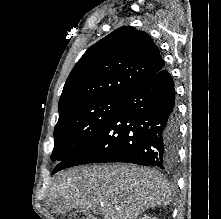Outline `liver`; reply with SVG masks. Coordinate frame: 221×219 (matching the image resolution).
I'll use <instances>...</instances> for the list:
<instances>
[{"instance_id":"obj_1","label":"liver","mask_w":221,"mask_h":219,"mask_svg":"<svg viewBox=\"0 0 221 219\" xmlns=\"http://www.w3.org/2000/svg\"><path fill=\"white\" fill-rule=\"evenodd\" d=\"M50 198L56 214L99 208L104 219H137L149 208L168 205L171 191L161 174L149 168L95 165L58 173Z\"/></svg>"}]
</instances>
